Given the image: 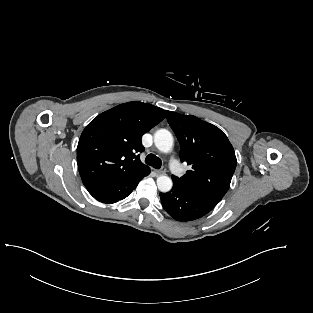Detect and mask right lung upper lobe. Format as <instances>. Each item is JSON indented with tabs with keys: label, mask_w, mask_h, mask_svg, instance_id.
I'll return each instance as SVG.
<instances>
[{
	"label": "right lung upper lobe",
	"mask_w": 313,
	"mask_h": 313,
	"mask_svg": "<svg viewBox=\"0 0 313 313\" xmlns=\"http://www.w3.org/2000/svg\"><path fill=\"white\" fill-rule=\"evenodd\" d=\"M166 114L159 107L133 101L93 119L77 147L78 170L85 187L121 181L148 169L139 159L144 150L141 137Z\"/></svg>",
	"instance_id": "cb5924a9"
}]
</instances>
